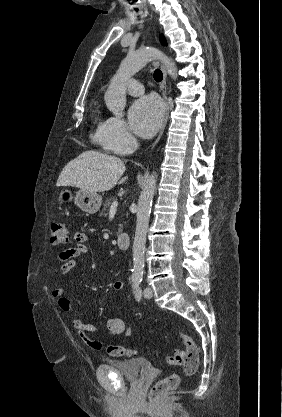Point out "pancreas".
<instances>
[{
	"label": "pancreas",
	"instance_id": "cf45deb5",
	"mask_svg": "<svg viewBox=\"0 0 282 417\" xmlns=\"http://www.w3.org/2000/svg\"><path fill=\"white\" fill-rule=\"evenodd\" d=\"M111 200H115L114 196H111V198H106L105 204H104L103 209H102V213H100V217H102V215H105L106 211H109V206L111 204ZM120 233H123V225H119L117 235H120Z\"/></svg>",
	"mask_w": 282,
	"mask_h": 417
}]
</instances>
